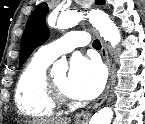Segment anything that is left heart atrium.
Here are the masks:
<instances>
[{"mask_svg":"<svg viewBox=\"0 0 145 124\" xmlns=\"http://www.w3.org/2000/svg\"><path fill=\"white\" fill-rule=\"evenodd\" d=\"M105 74L97 60L76 56L72 59L67 77V93L71 97L90 100L103 89Z\"/></svg>","mask_w":145,"mask_h":124,"instance_id":"1","label":"left heart atrium"}]
</instances>
